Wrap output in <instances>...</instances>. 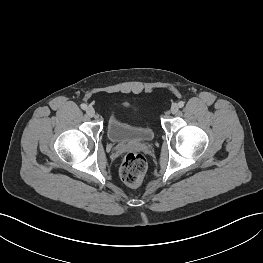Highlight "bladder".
Here are the masks:
<instances>
[{"mask_svg":"<svg viewBox=\"0 0 263 263\" xmlns=\"http://www.w3.org/2000/svg\"><path fill=\"white\" fill-rule=\"evenodd\" d=\"M107 135L116 144L148 143L153 140L155 131L151 124L131 121L122 112L116 111L109 118Z\"/></svg>","mask_w":263,"mask_h":263,"instance_id":"bladder-1","label":"bladder"}]
</instances>
